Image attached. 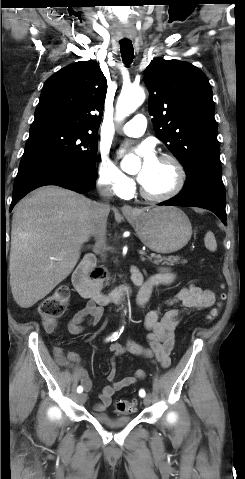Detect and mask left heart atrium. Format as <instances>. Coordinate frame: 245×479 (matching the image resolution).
I'll return each instance as SVG.
<instances>
[{
    "instance_id": "39dd6f15",
    "label": "left heart atrium",
    "mask_w": 245,
    "mask_h": 479,
    "mask_svg": "<svg viewBox=\"0 0 245 479\" xmlns=\"http://www.w3.org/2000/svg\"><path fill=\"white\" fill-rule=\"evenodd\" d=\"M137 152L142 157L141 169L137 176L138 181L142 184L147 180L158 159L155 156L152 148L147 144L141 145L137 149Z\"/></svg>"
}]
</instances>
